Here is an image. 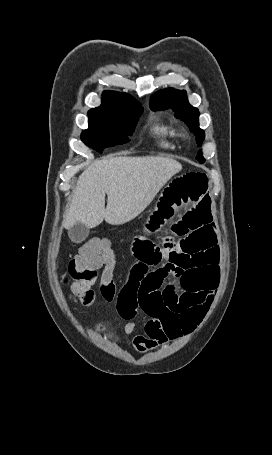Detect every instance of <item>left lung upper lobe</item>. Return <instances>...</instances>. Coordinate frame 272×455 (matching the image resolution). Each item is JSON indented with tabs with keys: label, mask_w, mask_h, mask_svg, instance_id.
Listing matches in <instances>:
<instances>
[{
	"label": "left lung upper lobe",
	"mask_w": 272,
	"mask_h": 455,
	"mask_svg": "<svg viewBox=\"0 0 272 455\" xmlns=\"http://www.w3.org/2000/svg\"><path fill=\"white\" fill-rule=\"evenodd\" d=\"M150 108L154 111L172 109L175 116L183 120L190 131L196 135L197 145L201 146L205 134L199 128V111L189 104L186 91L173 88L161 90L151 97ZM196 159L204 163L201 151L198 152Z\"/></svg>",
	"instance_id": "left-lung-upper-lobe-1"
}]
</instances>
